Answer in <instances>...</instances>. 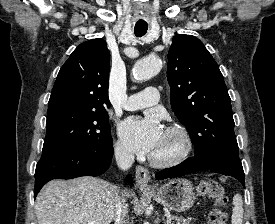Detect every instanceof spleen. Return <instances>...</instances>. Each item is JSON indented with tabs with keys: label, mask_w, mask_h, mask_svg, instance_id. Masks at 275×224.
Instances as JSON below:
<instances>
[{
	"label": "spleen",
	"mask_w": 275,
	"mask_h": 224,
	"mask_svg": "<svg viewBox=\"0 0 275 224\" xmlns=\"http://www.w3.org/2000/svg\"><path fill=\"white\" fill-rule=\"evenodd\" d=\"M233 210H232V217L231 223L232 224H242L243 222V200L240 194H236L233 197Z\"/></svg>",
	"instance_id": "spleen-1"
}]
</instances>
